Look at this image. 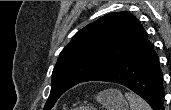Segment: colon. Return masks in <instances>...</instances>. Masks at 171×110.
I'll use <instances>...</instances> for the list:
<instances>
[{
	"label": "colon",
	"mask_w": 171,
	"mask_h": 110,
	"mask_svg": "<svg viewBox=\"0 0 171 110\" xmlns=\"http://www.w3.org/2000/svg\"><path fill=\"white\" fill-rule=\"evenodd\" d=\"M74 110H90V109L86 106H81V107L75 108Z\"/></svg>",
	"instance_id": "5ec220e1"
}]
</instances>
